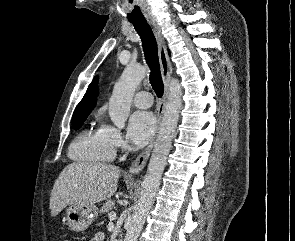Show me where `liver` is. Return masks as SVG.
Returning a JSON list of instances; mask_svg holds the SVG:
<instances>
[{"instance_id": "liver-1", "label": "liver", "mask_w": 295, "mask_h": 241, "mask_svg": "<svg viewBox=\"0 0 295 241\" xmlns=\"http://www.w3.org/2000/svg\"><path fill=\"white\" fill-rule=\"evenodd\" d=\"M120 169L111 164L74 162L56 180L50 197L53 217L71 204L94 205L111 198L117 190Z\"/></svg>"}]
</instances>
